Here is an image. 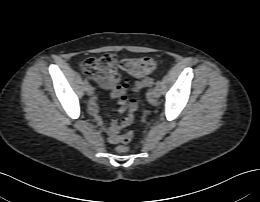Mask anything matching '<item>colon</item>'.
Returning a JSON list of instances; mask_svg holds the SVG:
<instances>
[{
    "instance_id": "1",
    "label": "colon",
    "mask_w": 260,
    "mask_h": 202,
    "mask_svg": "<svg viewBox=\"0 0 260 202\" xmlns=\"http://www.w3.org/2000/svg\"><path fill=\"white\" fill-rule=\"evenodd\" d=\"M157 60L152 57L127 58L120 62L115 55L106 54L99 58H88L80 63L81 72L88 78L97 81L99 84H107L117 78L118 71L122 70L126 74L140 78L136 82V90L150 87L153 79L146 77L157 67ZM136 100V99H135ZM146 113L142 119L145 120ZM134 137V131H128L117 137V141L121 143L117 147L119 153H126L128 148L125 144L129 143Z\"/></svg>"
}]
</instances>
